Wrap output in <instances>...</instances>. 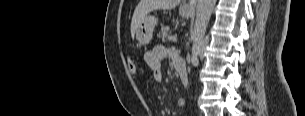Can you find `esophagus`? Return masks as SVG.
<instances>
[{"instance_id":"1","label":"esophagus","mask_w":305,"mask_h":116,"mask_svg":"<svg viewBox=\"0 0 305 116\" xmlns=\"http://www.w3.org/2000/svg\"><path fill=\"white\" fill-rule=\"evenodd\" d=\"M196 1L195 0H190L185 4V8L194 10L195 8Z\"/></svg>"}]
</instances>
